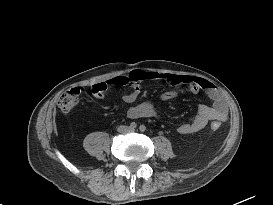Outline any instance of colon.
Segmentation results:
<instances>
[{
  "mask_svg": "<svg viewBox=\"0 0 273 205\" xmlns=\"http://www.w3.org/2000/svg\"><path fill=\"white\" fill-rule=\"evenodd\" d=\"M81 94L82 90L80 88H72L62 92L57 101L60 111L65 114L71 113L75 109ZM219 128L220 124L218 122L211 123L213 131H217Z\"/></svg>",
  "mask_w": 273,
  "mask_h": 205,
  "instance_id": "1",
  "label": "colon"
}]
</instances>
